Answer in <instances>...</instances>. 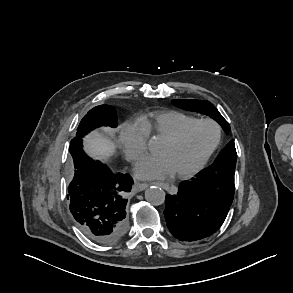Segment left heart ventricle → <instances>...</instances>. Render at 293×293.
Returning <instances> with one entry per match:
<instances>
[{"mask_svg":"<svg viewBox=\"0 0 293 293\" xmlns=\"http://www.w3.org/2000/svg\"><path fill=\"white\" fill-rule=\"evenodd\" d=\"M216 136L209 124H197L175 143L162 140L157 152L167 157L175 173L190 170L206 153Z\"/></svg>","mask_w":293,"mask_h":293,"instance_id":"obj_1","label":"left heart ventricle"}]
</instances>
